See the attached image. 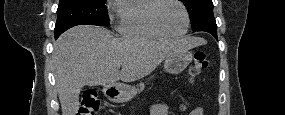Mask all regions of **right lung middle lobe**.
Masks as SVG:
<instances>
[{
	"label": "right lung middle lobe",
	"mask_w": 285,
	"mask_h": 115,
	"mask_svg": "<svg viewBox=\"0 0 285 115\" xmlns=\"http://www.w3.org/2000/svg\"><path fill=\"white\" fill-rule=\"evenodd\" d=\"M106 0H60L57 9L55 34L81 24L108 26Z\"/></svg>",
	"instance_id": "right-lung-middle-lobe-1"
}]
</instances>
